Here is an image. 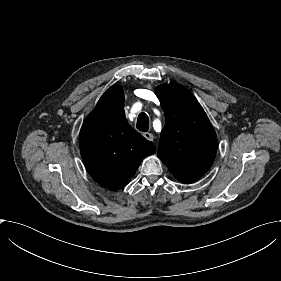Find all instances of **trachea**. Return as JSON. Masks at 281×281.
Instances as JSON below:
<instances>
[{
	"mask_svg": "<svg viewBox=\"0 0 281 281\" xmlns=\"http://www.w3.org/2000/svg\"><path fill=\"white\" fill-rule=\"evenodd\" d=\"M149 128V118L146 113H140L137 119V129L146 132Z\"/></svg>",
	"mask_w": 281,
	"mask_h": 281,
	"instance_id": "obj_1",
	"label": "trachea"
}]
</instances>
